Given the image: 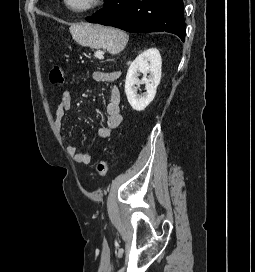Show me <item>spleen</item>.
<instances>
[{"label":"spleen","mask_w":255,"mask_h":272,"mask_svg":"<svg viewBox=\"0 0 255 272\" xmlns=\"http://www.w3.org/2000/svg\"><path fill=\"white\" fill-rule=\"evenodd\" d=\"M72 38L82 46L107 49L114 55L125 48L128 35L119 29L93 24H74L70 27Z\"/></svg>","instance_id":"obj_1"}]
</instances>
